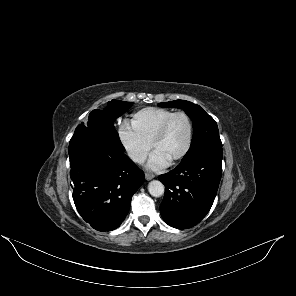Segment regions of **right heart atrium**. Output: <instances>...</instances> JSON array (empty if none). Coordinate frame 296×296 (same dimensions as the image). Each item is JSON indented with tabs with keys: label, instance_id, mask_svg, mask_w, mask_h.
I'll return each instance as SVG.
<instances>
[{
	"label": "right heart atrium",
	"instance_id": "obj_1",
	"mask_svg": "<svg viewBox=\"0 0 296 296\" xmlns=\"http://www.w3.org/2000/svg\"><path fill=\"white\" fill-rule=\"evenodd\" d=\"M118 134L128 157L137 164L143 163L150 151V144L146 143L133 128L129 126H121Z\"/></svg>",
	"mask_w": 296,
	"mask_h": 296
}]
</instances>
